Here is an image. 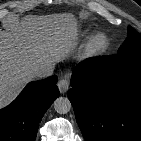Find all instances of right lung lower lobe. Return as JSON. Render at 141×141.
Listing matches in <instances>:
<instances>
[{
	"mask_svg": "<svg viewBox=\"0 0 141 141\" xmlns=\"http://www.w3.org/2000/svg\"><path fill=\"white\" fill-rule=\"evenodd\" d=\"M56 83V75L31 82L0 110V141H35L43 115L59 96Z\"/></svg>",
	"mask_w": 141,
	"mask_h": 141,
	"instance_id": "obj_1",
	"label": "right lung lower lobe"
}]
</instances>
